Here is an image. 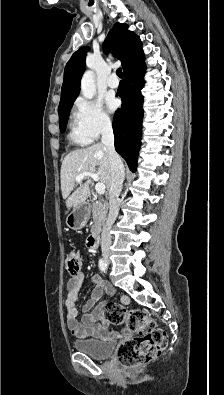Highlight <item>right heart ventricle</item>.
<instances>
[{
  "label": "right heart ventricle",
  "instance_id": "right-heart-ventricle-1",
  "mask_svg": "<svg viewBox=\"0 0 224 395\" xmlns=\"http://www.w3.org/2000/svg\"><path fill=\"white\" fill-rule=\"evenodd\" d=\"M69 138L73 143L80 145V146L87 145L92 141L91 139H89L88 137H86L85 135H83L82 133L79 132L76 124H74L71 127Z\"/></svg>",
  "mask_w": 224,
  "mask_h": 395
}]
</instances>
